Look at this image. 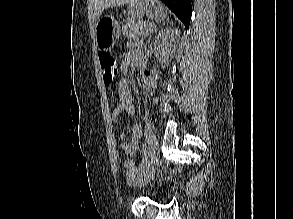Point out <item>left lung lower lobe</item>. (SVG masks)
Instances as JSON below:
<instances>
[{"label": "left lung lower lobe", "mask_w": 293, "mask_h": 219, "mask_svg": "<svg viewBox=\"0 0 293 219\" xmlns=\"http://www.w3.org/2000/svg\"><path fill=\"white\" fill-rule=\"evenodd\" d=\"M184 23L187 29L192 15L191 0H161Z\"/></svg>", "instance_id": "left-lung-lower-lobe-1"}]
</instances>
